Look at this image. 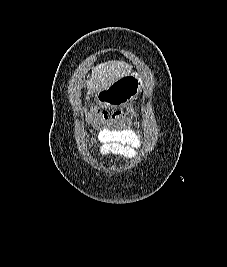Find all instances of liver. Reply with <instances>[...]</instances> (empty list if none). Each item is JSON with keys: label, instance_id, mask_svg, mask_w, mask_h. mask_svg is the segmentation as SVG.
Listing matches in <instances>:
<instances>
[{"label": "liver", "instance_id": "1", "mask_svg": "<svg viewBox=\"0 0 227 267\" xmlns=\"http://www.w3.org/2000/svg\"><path fill=\"white\" fill-rule=\"evenodd\" d=\"M132 70V66L123 61H108L92 69V76L87 81L89 91H101V87H110L116 77H124Z\"/></svg>", "mask_w": 227, "mask_h": 267}]
</instances>
